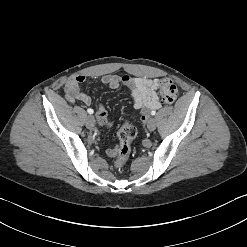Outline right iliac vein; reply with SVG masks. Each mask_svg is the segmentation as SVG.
Masks as SVG:
<instances>
[{
  "label": "right iliac vein",
  "mask_w": 247,
  "mask_h": 247,
  "mask_svg": "<svg viewBox=\"0 0 247 247\" xmlns=\"http://www.w3.org/2000/svg\"><path fill=\"white\" fill-rule=\"evenodd\" d=\"M86 126L87 128L89 129H93L94 126H95V119L93 116H88L87 119H86Z\"/></svg>",
  "instance_id": "1"
}]
</instances>
